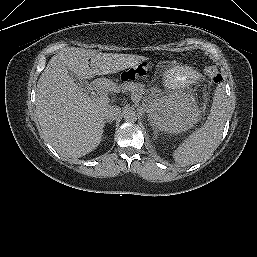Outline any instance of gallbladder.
Listing matches in <instances>:
<instances>
[{
	"instance_id": "gallbladder-1",
	"label": "gallbladder",
	"mask_w": 257,
	"mask_h": 257,
	"mask_svg": "<svg viewBox=\"0 0 257 257\" xmlns=\"http://www.w3.org/2000/svg\"><path fill=\"white\" fill-rule=\"evenodd\" d=\"M69 75L74 80V82L77 83L84 91L88 90L89 83L85 79L80 78L71 71H69Z\"/></svg>"
}]
</instances>
